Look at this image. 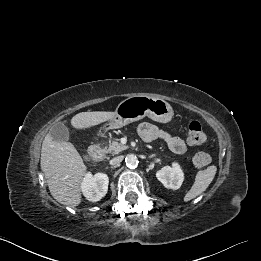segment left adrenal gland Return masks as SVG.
<instances>
[{"label":"left adrenal gland","mask_w":261,"mask_h":261,"mask_svg":"<svg viewBox=\"0 0 261 261\" xmlns=\"http://www.w3.org/2000/svg\"><path fill=\"white\" fill-rule=\"evenodd\" d=\"M156 155L155 154H153V155H151L149 158H153V157H155Z\"/></svg>","instance_id":"1"}]
</instances>
